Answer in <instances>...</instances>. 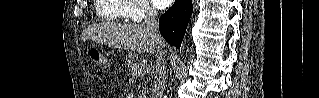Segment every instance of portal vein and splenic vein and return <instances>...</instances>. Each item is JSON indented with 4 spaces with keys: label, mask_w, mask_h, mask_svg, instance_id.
<instances>
[{
    "label": "portal vein and splenic vein",
    "mask_w": 319,
    "mask_h": 98,
    "mask_svg": "<svg viewBox=\"0 0 319 98\" xmlns=\"http://www.w3.org/2000/svg\"><path fill=\"white\" fill-rule=\"evenodd\" d=\"M132 70L134 71V72H138V74H141L143 71L139 68V65H137V64H133L132 65Z\"/></svg>",
    "instance_id": "18ae733b"
}]
</instances>
